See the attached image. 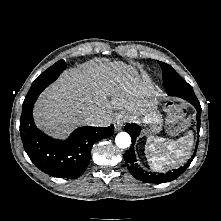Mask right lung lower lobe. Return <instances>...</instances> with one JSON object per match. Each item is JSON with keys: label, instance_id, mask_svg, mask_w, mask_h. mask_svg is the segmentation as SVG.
Instances as JSON below:
<instances>
[{"label": "right lung lower lobe", "instance_id": "98d812e1", "mask_svg": "<svg viewBox=\"0 0 221 221\" xmlns=\"http://www.w3.org/2000/svg\"><path fill=\"white\" fill-rule=\"evenodd\" d=\"M33 105L22 108L20 134L24 149L34 165L54 177L77 178L87 168L91 147L114 134V126L80 127L68 139L56 140L42 133L32 116Z\"/></svg>", "mask_w": 221, "mask_h": 221}]
</instances>
